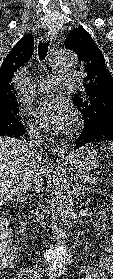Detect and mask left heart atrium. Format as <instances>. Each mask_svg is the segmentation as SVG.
<instances>
[{"label": "left heart atrium", "instance_id": "39dd6f15", "mask_svg": "<svg viewBox=\"0 0 113 279\" xmlns=\"http://www.w3.org/2000/svg\"><path fill=\"white\" fill-rule=\"evenodd\" d=\"M41 124L47 130L60 132L73 123L74 113L69 102L62 97L46 98L37 109Z\"/></svg>", "mask_w": 113, "mask_h": 279}]
</instances>
